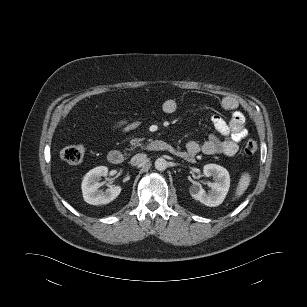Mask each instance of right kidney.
<instances>
[{"mask_svg": "<svg viewBox=\"0 0 307 307\" xmlns=\"http://www.w3.org/2000/svg\"><path fill=\"white\" fill-rule=\"evenodd\" d=\"M108 175L106 166H98L90 170L83 178L82 193L84 200L91 205L108 204L113 201L121 192L120 186L107 189L105 192L99 190L101 177Z\"/></svg>", "mask_w": 307, "mask_h": 307, "instance_id": "1", "label": "right kidney"}]
</instances>
